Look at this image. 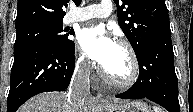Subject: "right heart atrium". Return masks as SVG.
Instances as JSON below:
<instances>
[{"label":"right heart atrium","instance_id":"d8ad5b80","mask_svg":"<svg viewBox=\"0 0 193 112\" xmlns=\"http://www.w3.org/2000/svg\"><path fill=\"white\" fill-rule=\"evenodd\" d=\"M76 69L82 73H88L90 71V62L83 54H78L75 61Z\"/></svg>","mask_w":193,"mask_h":112}]
</instances>
